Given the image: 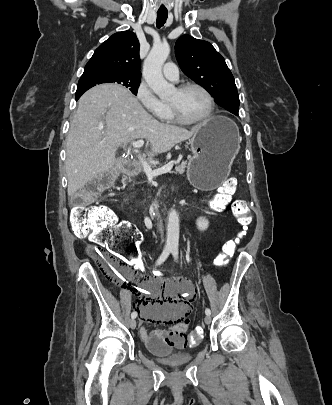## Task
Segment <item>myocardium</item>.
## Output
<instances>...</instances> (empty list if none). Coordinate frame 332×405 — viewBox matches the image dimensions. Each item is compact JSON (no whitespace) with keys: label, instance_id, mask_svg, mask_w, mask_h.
I'll use <instances>...</instances> for the list:
<instances>
[{"label":"myocardium","instance_id":"myocardium-1","mask_svg":"<svg viewBox=\"0 0 332 405\" xmlns=\"http://www.w3.org/2000/svg\"><path fill=\"white\" fill-rule=\"evenodd\" d=\"M189 89H198L207 97L208 102H209V108L205 115H203L202 117H200L198 119L189 120L182 116L180 110L178 109V107L176 105L169 103V108L171 110V113H172L174 119L179 123L186 124V125L202 124V123L208 121L214 114V110H215L214 98L207 88H205L204 86H202L201 84H198V83H193V82L184 83V84L180 85L176 90L178 92L182 93Z\"/></svg>","mask_w":332,"mask_h":405}]
</instances>
